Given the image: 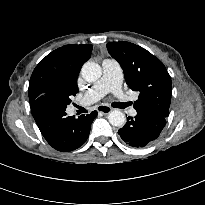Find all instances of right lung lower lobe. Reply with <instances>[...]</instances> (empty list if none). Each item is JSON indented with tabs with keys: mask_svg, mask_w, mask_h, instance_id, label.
<instances>
[{
	"mask_svg": "<svg viewBox=\"0 0 205 205\" xmlns=\"http://www.w3.org/2000/svg\"><path fill=\"white\" fill-rule=\"evenodd\" d=\"M32 115L46 141L56 150L68 152L79 148L87 140L97 111L75 119L66 116L65 98L49 92L30 103Z\"/></svg>",
	"mask_w": 205,
	"mask_h": 205,
	"instance_id": "obj_1",
	"label": "right lung lower lobe"
}]
</instances>
